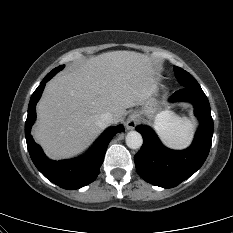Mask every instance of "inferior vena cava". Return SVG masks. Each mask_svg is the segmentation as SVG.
I'll return each mask as SVG.
<instances>
[{
    "label": "inferior vena cava",
    "mask_w": 233,
    "mask_h": 233,
    "mask_svg": "<svg viewBox=\"0 0 233 233\" xmlns=\"http://www.w3.org/2000/svg\"><path fill=\"white\" fill-rule=\"evenodd\" d=\"M111 123H113V115L110 112L102 114L96 121L97 126L101 129L106 128Z\"/></svg>",
    "instance_id": "1"
}]
</instances>
